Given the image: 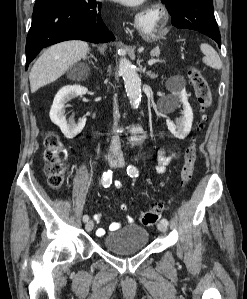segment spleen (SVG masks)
I'll use <instances>...</instances> for the list:
<instances>
[{"instance_id":"3e777b00","label":"spleen","mask_w":247,"mask_h":299,"mask_svg":"<svg viewBox=\"0 0 247 299\" xmlns=\"http://www.w3.org/2000/svg\"><path fill=\"white\" fill-rule=\"evenodd\" d=\"M200 49L205 55L203 62L214 69L220 70L222 68V61L215 51V49L207 43H201Z\"/></svg>"}]
</instances>
